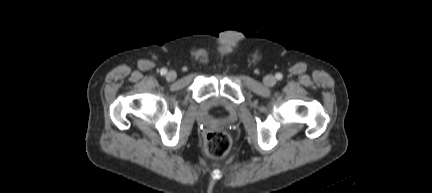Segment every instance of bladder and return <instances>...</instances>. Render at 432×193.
Instances as JSON below:
<instances>
[{
	"label": "bladder",
	"instance_id": "31cf9c89",
	"mask_svg": "<svg viewBox=\"0 0 432 193\" xmlns=\"http://www.w3.org/2000/svg\"><path fill=\"white\" fill-rule=\"evenodd\" d=\"M207 110H211L213 108H220L222 109L219 113L221 116H223L225 113L223 112V109L226 105V99L221 96H213L209 99H207L204 103Z\"/></svg>",
	"mask_w": 432,
	"mask_h": 193
}]
</instances>
